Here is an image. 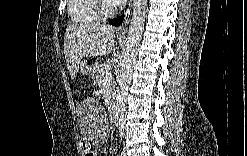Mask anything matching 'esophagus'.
I'll return each instance as SVG.
<instances>
[{
	"mask_svg": "<svg viewBox=\"0 0 247 156\" xmlns=\"http://www.w3.org/2000/svg\"><path fill=\"white\" fill-rule=\"evenodd\" d=\"M132 10H133V2H132V0H130L127 9L124 12V19H123L121 25L118 27L119 33H126L127 32L128 25H129L131 15H132Z\"/></svg>",
	"mask_w": 247,
	"mask_h": 156,
	"instance_id": "1",
	"label": "esophagus"
}]
</instances>
